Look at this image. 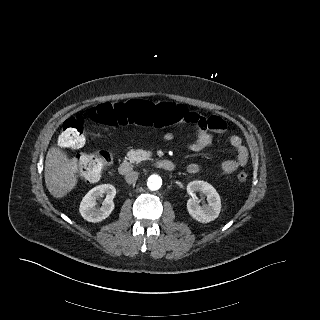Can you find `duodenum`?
I'll return each instance as SVG.
<instances>
[{
  "label": "duodenum",
  "mask_w": 320,
  "mask_h": 320,
  "mask_svg": "<svg viewBox=\"0 0 320 320\" xmlns=\"http://www.w3.org/2000/svg\"><path fill=\"white\" fill-rule=\"evenodd\" d=\"M154 165L164 171L172 172L175 169V164L167 159H159L154 162ZM133 169V163L131 161L125 160L119 166V173L121 175H126Z\"/></svg>",
  "instance_id": "410a0bca"
}]
</instances>
